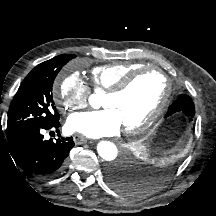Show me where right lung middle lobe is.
<instances>
[{"label":"right lung middle lobe","mask_w":216,"mask_h":216,"mask_svg":"<svg viewBox=\"0 0 216 216\" xmlns=\"http://www.w3.org/2000/svg\"><path fill=\"white\" fill-rule=\"evenodd\" d=\"M74 57L72 54L56 56L26 76L11 102L7 132L44 127L59 120L52 98V86L61 68Z\"/></svg>","instance_id":"1"}]
</instances>
